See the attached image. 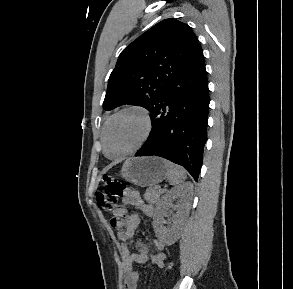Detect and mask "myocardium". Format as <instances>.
<instances>
[{"instance_id":"obj_1","label":"myocardium","mask_w":293,"mask_h":289,"mask_svg":"<svg viewBox=\"0 0 293 289\" xmlns=\"http://www.w3.org/2000/svg\"><path fill=\"white\" fill-rule=\"evenodd\" d=\"M127 112H135L141 116V118L143 120V124H144L142 136H141L140 140L138 141V143L130 150H128L125 153L118 155V156H110L107 152V142H106L107 130L115 118H117L118 116H120L124 113H127ZM152 130H153V119H152L150 111L146 107H144L142 105L125 106V107L121 108L120 110H118L117 112H115L114 114H112L104 124L103 130L101 133L103 153L107 158L112 159V160L125 158V157L137 152L138 150H140L144 146V144L149 139V137L152 133Z\"/></svg>"}]
</instances>
